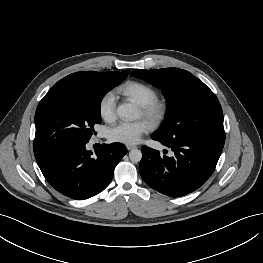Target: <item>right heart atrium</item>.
I'll return each instance as SVG.
<instances>
[{
  "instance_id": "d8ad5b80",
  "label": "right heart atrium",
  "mask_w": 263,
  "mask_h": 263,
  "mask_svg": "<svg viewBox=\"0 0 263 263\" xmlns=\"http://www.w3.org/2000/svg\"><path fill=\"white\" fill-rule=\"evenodd\" d=\"M98 111L100 117L108 123L116 119V101L113 93H105L99 100Z\"/></svg>"
}]
</instances>
